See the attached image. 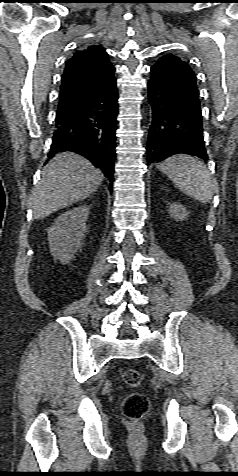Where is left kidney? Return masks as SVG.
Returning a JSON list of instances; mask_svg holds the SVG:
<instances>
[{
	"mask_svg": "<svg viewBox=\"0 0 238 476\" xmlns=\"http://www.w3.org/2000/svg\"><path fill=\"white\" fill-rule=\"evenodd\" d=\"M168 205H169L168 211L170 216L177 221L184 220L189 214L187 209L179 203H169Z\"/></svg>",
	"mask_w": 238,
	"mask_h": 476,
	"instance_id": "left-kidney-1",
	"label": "left kidney"
}]
</instances>
